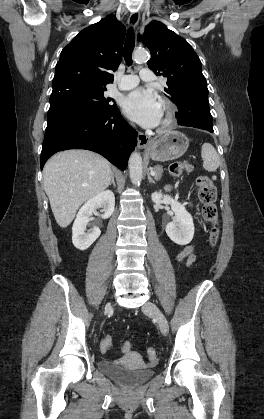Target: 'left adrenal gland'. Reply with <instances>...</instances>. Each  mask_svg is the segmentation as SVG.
<instances>
[{"instance_id": "left-adrenal-gland-1", "label": "left adrenal gland", "mask_w": 264, "mask_h": 419, "mask_svg": "<svg viewBox=\"0 0 264 419\" xmlns=\"http://www.w3.org/2000/svg\"><path fill=\"white\" fill-rule=\"evenodd\" d=\"M148 181L150 183H155V181L153 180V178L151 177L150 173L148 172Z\"/></svg>"}]
</instances>
